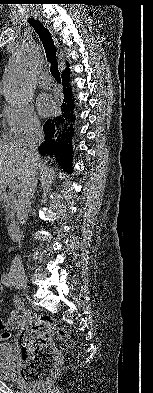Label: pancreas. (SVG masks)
<instances>
[{"label":"pancreas","mask_w":153,"mask_h":393,"mask_svg":"<svg viewBox=\"0 0 153 393\" xmlns=\"http://www.w3.org/2000/svg\"><path fill=\"white\" fill-rule=\"evenodd\" d=\"M16 192L10 191L7 197L4 200V207L7 211L5 220L8 222L10 219H13L16 212Z\"/></svg>","instance_id":"1"}]
</instances>
